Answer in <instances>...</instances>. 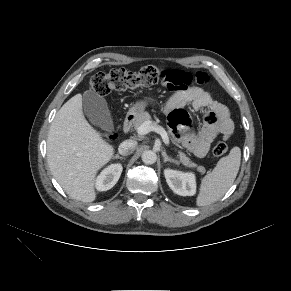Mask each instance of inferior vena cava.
I'll use <instances>...</instances> for the list:
<instances>
[{
	"label": "inferior vena cava",
	"mask_w": 291,
	"mask_h": 291,
	"mask_svg": "<svg viewBox=\"0 0 291 291\" xmlns=\"http://www.w3.org/2000/svg\"><path fill=\"white\" fill-rule=\"evenodd\" d=\"M137 142L134 140L123 141L118 148L121 155H130L136 148Z\"/></svg>",
	"instance_id": "obj_1"
}]
</instances>
